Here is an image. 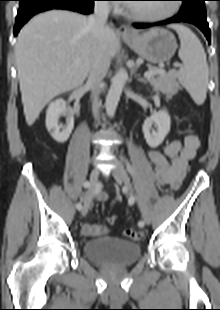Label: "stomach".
Here are the masks:
<instances>
[{
	"label": "stomach",
	"mask_w": 220,
	"mask_h": 310,
	"mask_svg": "<svg viewBox=\"0 0 220 310\" xmlns=\"http://www.w3.org/2000/svg\"><path fill=\"white\" fill-rule=\"evenodd\" d=\"M123 40L143 59L150 63H163L172 58L177 43L174 35L161 28H154L145 33H135Z\"/></svg>",
	"instance_id": "stomach-1"
}]
</instances>
